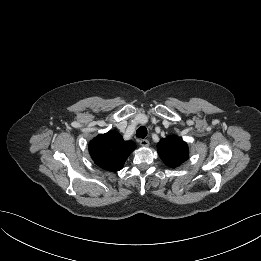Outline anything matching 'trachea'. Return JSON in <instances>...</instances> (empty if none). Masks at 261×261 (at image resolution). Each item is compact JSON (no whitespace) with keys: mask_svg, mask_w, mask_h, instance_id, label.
Listing matches in <instances>:
<instances>
[{"mask_svg":"<svg viewBox=\"0 0 261 261\" xmlns=\"http://www.w3.org/2000/svg\"><path fill=\"white\" fill-rule=\"evenodd\" d=\"M136 136L138 138H145L147 136V128L145 126H141L136 131Z\"/></svg>","mask_w":261,"mask_h":261,"instance_id":"trachea-1","label":"trachea"}]
</instances>
